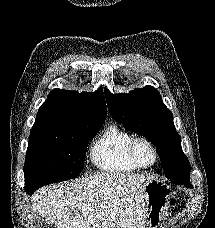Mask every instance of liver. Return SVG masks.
Returning a JSON list of instances; mask_svg holds the SVG:
<instances>
[{"mask_svg": "<svg viewBox=\"0 0 215 228\" xmlns=\"http://www.w3.org/2000/svg\"><path fill=\"white\" fill-rule=\"evenodd\" d=\"M143 174L101 172L53 186L31 196L32 210L54 228H146Z\"/></svg>", "mask_w": 215, "mask_h": 228, "instance_id": "1", "label": "liver"}]
</instances>
